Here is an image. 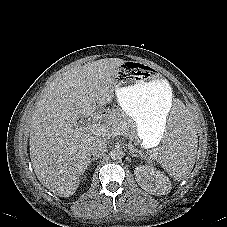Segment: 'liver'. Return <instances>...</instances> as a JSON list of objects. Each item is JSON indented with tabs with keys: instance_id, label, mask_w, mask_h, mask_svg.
Masks as SVG:
<instances>
[{
	"instance_id": "6515ba94",
	"label": "liver",
	"mask_w": 227,
	"mask_h": 227,
	"mask_svg": "<svg viewBox=\"0 0 227 227\" xmlns=\"http://www.w3.org/2000/svg\"><path fill=\"white\" fill-rule=\"evenodd\" d=\"M124 62L106 58L70 67L37 101L31 120L30 158L38 180L52 193L69 197L77 190L89 165L90 147L102 139L91 132L77 137V121L111 103L115 77Z\"/></svg>"
}]
</instances>
